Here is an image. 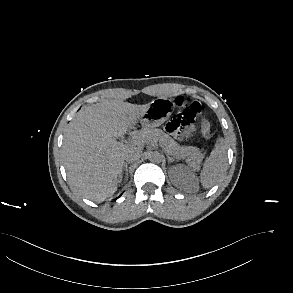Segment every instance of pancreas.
<instances>
[{"label":"pancreas","mask_w":293,"mask_h":293,"mask_svg":"<svg viewBox=\"0 0 293 293\" xmlns=\"http://www.w3.org/2000/svg\"><path fill=\"white\" fill-rule=\"evenodd\" d=\"M137 134L145 135L146 138L144 141L147 142L158 140L169 155L176 159L187 157V161L193 166H198L203 158V154L199 151L198 148L193 146H180L161 129L144 128Z\"/></svg>","instance_id":"pancreas-1"}]
</instances>
